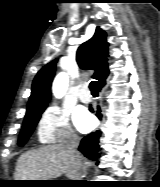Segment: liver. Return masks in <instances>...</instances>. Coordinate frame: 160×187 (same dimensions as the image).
Instances as JSON below:
<instances>
[{"mask_svg":"<svg viewBox=\"0 0 160 187\" xmlns=\"http://www.w3.org/2000/svg\"><path fill=\"white\" fill-rule=\"evenodd\" d=\"M61 174L70 180L77 179L78 165L65 145H49L27 151L19 157L15 180H52Z\"/></svg>","mask_w":160,"mask_h":187,"instance_id":"obj_1","label":"liver"}]
</instances>
